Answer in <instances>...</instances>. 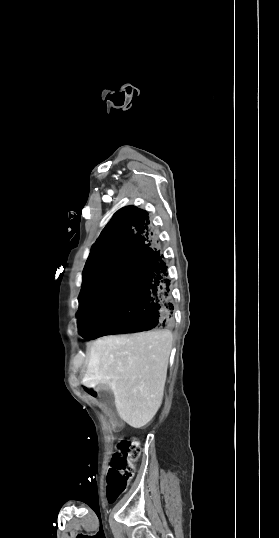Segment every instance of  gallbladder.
I'll return each instance as SVG.
<instances>
[{"instance_id":"gallbladder-1","label":"gallbladder","mask_w":279,"mask_h":538,"mask_svg":"<svg viewBox=\"0 0 279 538\" xmlns=\"http://www.w3.org/2000/svg\"><path fill=\"white\" fill-rule=\"evenodd\" d=\"M100 394L104 399V403L106 405L107 411L112 413L111 414V419L112 420H118L119 419V414L118 413H113V412L116 411L117 406L115 404V400L113 398V394H112L111 390H102V392H100Z\"/></svg>"}]
</instances>
